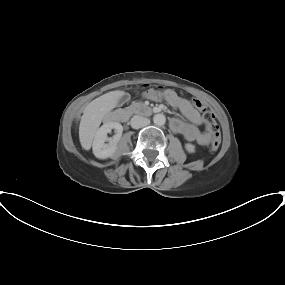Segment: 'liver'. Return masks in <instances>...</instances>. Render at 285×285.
I'll return each mask as SVG.
<instances>
[{
	"mask_svg": "<svg viewBox=\"0 0 285 285\" xmlns=\"http://www.w3.org/2000/svg\"><path fill=\"white\" fill-rule=\"evenodd\" d=\"M119 97L118 91H112L94 99L84 109L79 126V140L85 150H89L93 138L102 120L113 109Z\"/></svg>",
	"mask_w": 285,
	"mask_h": 285,
	"instance_id": "1",
	"label": "liver"
}]
</instances>
